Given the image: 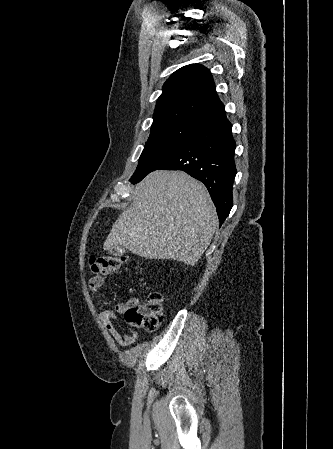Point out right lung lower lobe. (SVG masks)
Here are the masks:
<instances>
[{
  "label": "right lung lower lobe",
  "instance_id": "1",
  "mask_svg": "<svg viewBox=\"0 0 333 449\" xmlns=\"http://www.w3.org/2000/svg\"><path fill=\"white\" fill-rule=\"evenodd\" d=\"M235 148L232 125L224 118L185 141L150 172L158 169L183 170L202 181L211 195L222 225L233 206L232 185L237 172ZM144 177L131 182L135 184Z\"/></svg>",
  "mask_w": 333,
  "mask_h": 449
}]
</instances>
